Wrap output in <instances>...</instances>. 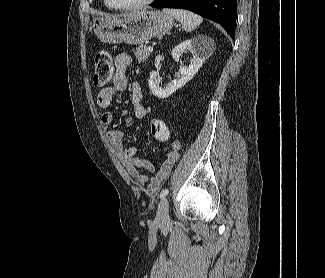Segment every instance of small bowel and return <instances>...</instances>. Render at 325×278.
Instances as JSON below:
<instances>
[{
    "label": "small bowel",
    "instance_id": "c3829d8e",
    "mask_svg": "<svg viewBox=\"0 0 325 278\" xmlns=\"http://www.w3.org/2000/svg\"><path fill=\"white\" fill-rule=\"evenodd\" d=\"M132 58L126 53L118 54L114 59L115 73L113 83L111 86L103 88L97 95V104L104 110L101 116V123L108 126L113 121V114L109 110L112 98L123 93L128 87V80L126 70L131 65ZM131 105L132 116L127 115L126 122L129 124L132 117L143 118L146 114V109L142 104V91L137 82L132 83L131 87ZM123 131L120 129H113L107 132V138L115 152L121 158V161L126 171L135 179L138 187H144L148 196L154 195L160 188L163 181L171 173L181 150V143L179 141H172L169 144L170 150L166 157L159 164L157 169L146 158L138 156V147L131 146L127 149L123 147ZM145 172L152 173L151 175Z\"/></svg>",
    "mask_w": 325,
    "mask_h": 278
}]
</instances>
